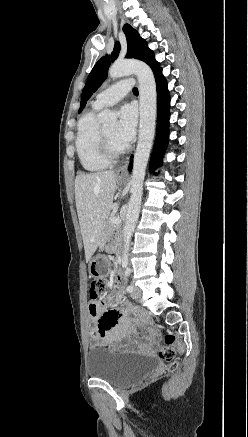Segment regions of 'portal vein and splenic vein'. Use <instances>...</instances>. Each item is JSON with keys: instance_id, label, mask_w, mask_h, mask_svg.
I'll return each instance as SVG.
<instances>
[{"instance_id": "1", "label": "portal vein and splenic vein", "mask_w": 248, "mask_h": 437, "mask_svg": "<svg viewBox=\"0 0 248 437\" xmlns=\"http://www.w3.org/2000/svg\"><path fill=\"white\" fill-rule=\"evenodd\" d=\"M120 217L119 216H115V217H113L112 219H111V223H113V224H117V223H120Z\"/></svg>"}]
</instances>
